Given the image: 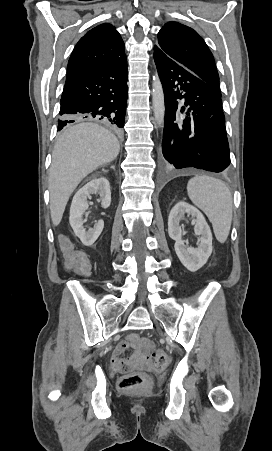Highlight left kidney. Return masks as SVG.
Wrapping results in <instances>:
<instances>
[{
  "instance_id": "1",
  "label": "left kidney",
  "mask_w": 272,
  "mask_h": 451,
  "mask_svg": "<svg viewBox=\"0 0 272 451\" xmlns=\"http://www.w3.org/2000/svg\"><path fill=\"white\" fill-rule=\"evenodd\" d=\"M184 214H190L196 220L194 231L195 235H200L199 247H186L182 239V229L179 226V222ZM168 233L172 239H175V251L181 263L189 271H197L206 263L209 255L212 253V233L204 216L197 208L186 204V202H178L169 214Z\"/></svg>"
}]
</instances>
